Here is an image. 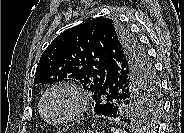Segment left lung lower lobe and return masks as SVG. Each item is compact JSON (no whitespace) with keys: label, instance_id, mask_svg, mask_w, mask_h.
<instances>
[{"label":"left lung lower lobe","instance_id":"obj_1","mask_svg":"<svg viewBox=\"0 0 184 133\" xmlns=\"http://www.w3.org/2000/svg\"><path fill=\"white\" fill-rule=\"evenodd\" d=\"M116 60L110 59L106 64L105 82L92 97L95 100L94 112L97 115L118 118L120 102L127 95L126 72ZM141 86L147 94H152L153 88L148 81H143Z\"/></svg>","mask_w":184,"mask_h":133}]
</instances>
